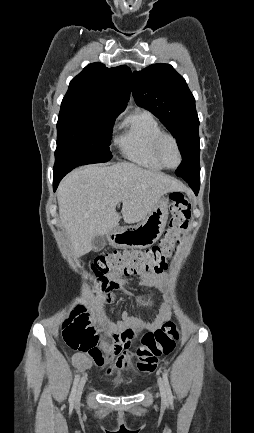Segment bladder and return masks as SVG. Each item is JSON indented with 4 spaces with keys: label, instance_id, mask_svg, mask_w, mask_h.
<instances>
[{
    "label": "bladder",
    "instance_id": "31cf9c89",
    "mask_svg": "<svg viewBox=\"0 0 254 433\" xmlns=\"http://www.w3.org/2000/svg\"><path fill=\"white\" fill-rule=\"evenodd\" d=\"M112 388H113L114 390H119V389L122 388V385L119 384V383H116V384H113V385H112Z\"/></svg>",
    "mask_w": 254,
    "mask_h": 433
}]
</instances>
